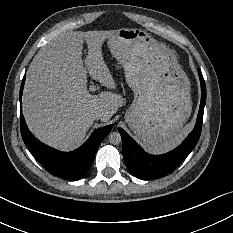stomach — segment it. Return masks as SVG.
I'll list each match as a JSON object with an SVG mask.
<instances>
[{
  "label": "stomach",
  "instance_id": "0dacf381",
  "mask_svg": "<svg viewBox=\"0 0 233 233\" xmlns=\"http://www.w3.org/2000/svg\"><path fill=\"white\" fill-rule=\"evenodd\" d=\"M107 46L134 93L125 122L150 148L169 143L192 110L191 84L175 53L138 28L116 30Z\"/></svg>",
  "mask_w": 233,
  "mask_h": 233
}]
</instances>
